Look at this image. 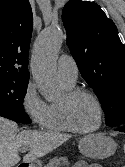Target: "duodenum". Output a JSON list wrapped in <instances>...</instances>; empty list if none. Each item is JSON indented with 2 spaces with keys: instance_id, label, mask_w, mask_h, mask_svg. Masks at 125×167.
Masks as SVG:
<instances>
[{
  "instance_id": "obj_1",
  "label": "duodenum",
  "mask_w": 125,
  "mask_h": 167,
  "mask_svg": "<svg viewBox=\"0 0 125 167\" xmlns=\"http://www.w3.org/2000/svg\"><path fill=\"white\" fill-rule=\"evenodd\" d=\"M18 167H28V164L23 163V164L18 165Z\"/></svg>"
}]
</instances>
